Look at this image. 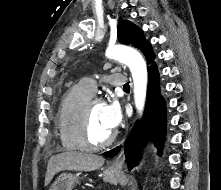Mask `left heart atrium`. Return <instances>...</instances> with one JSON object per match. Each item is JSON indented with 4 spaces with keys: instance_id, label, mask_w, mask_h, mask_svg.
Here are the masks:
<instances>
[{
    "instance_id": "39dd6f15",
    "label": "left heart atrium",
    "mask_w": 221,
    "mask_h": 190,
    "mask_svg": "<svg viewBox=\"0 0 221 190\" xmlns=\"http://www.w3.org/2000/svg\"><path fill=\"white\" fill-rule=\"evenodd\" d=\"M103 116L106 126L110 130H115L122 119L121 110L116 101L103 104Z\"/></svg>"
}]
</instances>
